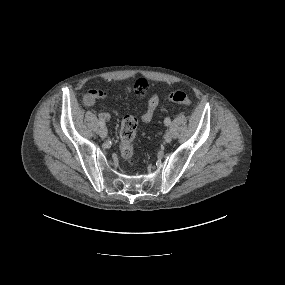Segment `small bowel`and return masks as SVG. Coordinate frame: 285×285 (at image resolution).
<instances>
[{
	"label": "small bowel",
	"mask_w": 285,
	"mask_h": 285,
	"mask_svg": "<svg viewBox=\"0 0 285 285\" xmlns=\"http://www.w3.org/2000/svg\"><path fill=\"white\" fill-rule=\"evenodd\" d=\"M148 87L149 85L144 90H141V91L135 90V93L138 96H145L148 91ZM126 91L131 92L132 91L131 87L127 86ZM107 98H108V95L106 92L98 90V89H90L88 92L84 94L82 98V102L84 106L91 107L96 103L97 100L107 99ZM160 104H161V99H160L159 94L156 92H153L148 99L146 110L141 115V121L145 124L149 123L153 119L156 112L158 111ZM110 118L111 117L109 113L102 112L99 114V119H101L104 122L109 121Z\"/></svg>",
	"instance_id": "obj_1"
}]
</instances>
